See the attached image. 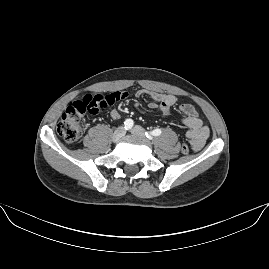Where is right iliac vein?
<instances>
[{
  "mask_svg": "<svg viewBox=\"0 0 269 269\" xmlns=\"http://www.w3.org/2000/svg\"><path fill=\"white\" fill-rule=\"evenodd\" d=\"M125 134H126V131L123 127L117 128L112 137L113 142H119L120 139L125 136Z\"/></svg>",
  "mask_w": 269,
  "mask_h": 269,
  "instance_id": "1",
  "label": "right iliac vein"
}]
</instances>
